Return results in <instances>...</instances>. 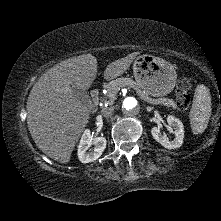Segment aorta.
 <instances>
[{
	"mask_svg": "<svg viewBox=\"0 0 221 221\" xmlns=\"http://www.w3.org/2000/svg\"><path fill=\"white\" fill-rule=\"evenodd\" d=\"M121 108L125 115L133 116L139 112L140 104L137 98L128 96L123 100Z\"/></svg>",
	"mask_w": 221,
	"mask_h": 221,
	"instance_id": "1",
	"label": "aorta"
}]
</instances>
